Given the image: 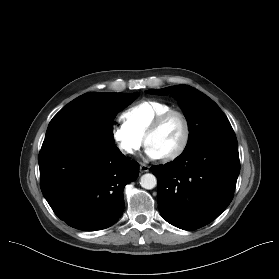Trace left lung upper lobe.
<instances>
[{
	"label": "left lung upper lobe",
	"instance_id": "1",
	"mask_svg": "<svg viewBox=\"0 0 279 279\" xmlns=\"http://www.w3.org/2000/svg\"><path fill=\"white\" fill-rule=\"evenodd\" d=\"M147 93L171 94L177 99L189 126V139L186 148L207 138L235 135L229 120L219 106L208 96L191 86H171L164 89L148 90Z\"/></svg>",
	"mask_w": 279,
	"mask_h": 279
}]
</instances>
